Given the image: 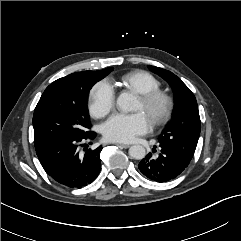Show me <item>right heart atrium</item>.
Segmentation results:
<instances>
[{"mask_svg": "<svg viewBox=\"0 0 241 241\" xmlns=\"http://www.w3.org/2000/svg\"><path fill=\"white\" fill-rule=\"evenodd\" d=\"M115 106V93L106 80L97 82L89 93V110L92 116L102 118Z\"/></svg>", "mask_w": 241, "mask_h": 241, "instance_id": "1", "label": "right heart atrium"}]
</instances>
